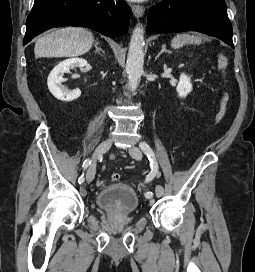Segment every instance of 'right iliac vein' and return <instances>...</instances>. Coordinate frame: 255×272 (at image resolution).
I'll use <instances>...</instances> for the list:
<instances>
[{
	"label": "right iliac vein",
	"instance_id": "1",
	"mask_svg": "<svg viewBox=\"0 0 255 272\" xmlns=\"http://www.w3.org/2000/svg\"><path fill=\"white\" fill-rule=\"evenodd\" d=\"M112 145V140L111 139H107L104 140L103 142H101L98 147L96 148L94 155H93V162L90 165L88 171H87V175H86V180L87 182H91L94 177H95V173H96V159L97 157L101 156L102 154L106 153L110 147Z\"/></svg>",
	"mask_w": 255,
	"mask_h": 272
}]
</instances>
